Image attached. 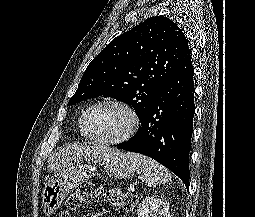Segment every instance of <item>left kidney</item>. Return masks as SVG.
Listing matches in <instances>:
<instances>
[{"label": "left kidney", "instance_id": "5707ae66", "mask_svg": "<svg viewBox=\"0 0 255 217\" xmlns=\"http://www.w3.org/2000/svg\"><path fill=\"white\" fill-rule=\"evenodd\" d=\"M169 209V202L164 198L148 196L139 204L137 217H171Z\"/></svg>", "mask_w": 255, "mask_h": 217}]
</instances>
